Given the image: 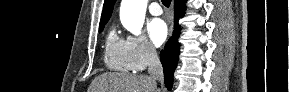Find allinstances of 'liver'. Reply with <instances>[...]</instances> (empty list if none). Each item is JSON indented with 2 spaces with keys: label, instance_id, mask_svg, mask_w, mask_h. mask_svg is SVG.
Instances as JSON below:
<instances>
[{
  "label": "liver",
  "instance_id": "liver-1",
  "mask_svg": "<svg viewBox=\"0 0 289 92\" xmlns=\"http://www.w3.org/2000/svg\"><path fill=\"white\" fill-rule=\"evenodd\" d=\"M89 92H160L156 81L147 75L103 73L92 82Z\"/></svg>",
  "mask_w": 289,
  "mask_h": 92
}]
</instances>
